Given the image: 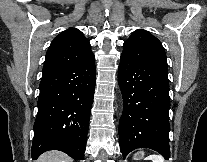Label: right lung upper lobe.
I'll use <instances>...</instances> for the list:
<instances>
[{"mask_svg": "<svg viewBox=\"0 0 207 162\" xmlns=\"http://www.w3.org/2000/svg\"><path fill=\"white\" fill-rule=\"evenodd\" d=\"M93 56L90 43L82 32L70 28L52 41L46 54L43 74L79 63Z\"/></svg>", "mask_w": 207, "mask_h": 162, "instance_id": "right-lung-upper-lobe-1", "label": "right lung upper lobe"}]
</instances>
